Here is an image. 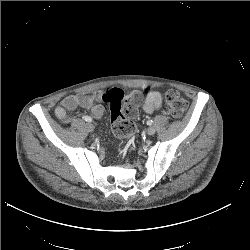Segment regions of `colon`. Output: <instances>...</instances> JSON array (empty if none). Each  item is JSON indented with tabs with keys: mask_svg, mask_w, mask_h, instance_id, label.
<instances>
[{
	"mask_svg": "<svg viewBox=\"0 0 250 250\" xmlns=\"http://www.w3.org/2000/svg\"><path fill=\"white\" fill-rule=\"evenodd\" d=\"M168 112L175 118H181L186 109L187 101L177 91L169 90L164 93ZM102 99L110 107L112 129L120 137H131L135 126L129 119L135 115L141 101V94L137 91L124 93L119 88H111L102 94Z\"/></svg>",
	"mask_w": 250,
	"mask_h": 250,
	"instance_id": "colon-1",
	"label": "colon"
}]
</instances>
